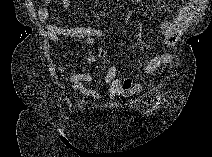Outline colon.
Returning <instances> with one entry per match:
<instances>
[{"instance_id":"obj_1","label":"colon","mask_w":212,"mask_h":157,"mask_svg":"<svg viewBox=\"0 0 212 157\" xmlns=\"http://www.w3.org/2000/svg\"><path fill=\"white\" fill-rule=\"evenodd\" d=\"M105 56V53L104 51L101 49V48H98L95 55H94V58L96 59H103Z\"/></svg>"}]
</instances>
